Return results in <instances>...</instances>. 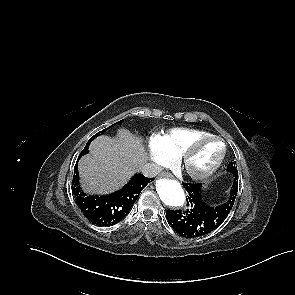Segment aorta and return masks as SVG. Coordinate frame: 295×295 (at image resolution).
<instances>
[{
	"label": "aorta",
	"instance_id": "aorta-1",
	"mask_svg": "<svg viewBox=\"0 0 295 295\" xmlns=\"http://www.w3.org/2000/svg\"><path fill=\"white\" fill-rule=\"evenodd\" d=\"M156 191L161 201L170 207H181L186 202V195L181 184L172 179L161 178L156 182Z\"/></svg>",
	"mask_w": 295,
	"mask_h": 295
}]
</instances>
